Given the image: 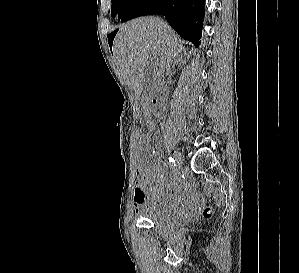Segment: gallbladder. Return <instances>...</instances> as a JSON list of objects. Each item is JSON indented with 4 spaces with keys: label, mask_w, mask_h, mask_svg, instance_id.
I'll list each match as a JSON object with an SVG mask.
<instances>
[{
    "label": "gallbladder",
    "mask_w": 299,
    "mask_h": 273,
    "mask_svg": "<svg viewBox=\"0 0 299 273\" xmlns=\"http://www.w3.org/2000/svg\"><path fill=\"white\" fill-rule=\"evenodd\" d=\"M156 72V63L154 61H150L144 69L143 88L146 96L150 95L153 90L154 77L156 75Z\"/></svg>",
    "instance_id": "1"
}]
</instances>
